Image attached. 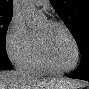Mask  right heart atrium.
<instances>
[{
    "mask_svg": "<svg viewBox=\"0 0 89 89\" xmlns=\"http://www.w3.org/2000/svg\"><path fill=\"white\" fill-rule=\"evenodd\" d=\"M34 33L19 15H13L5 35V49L8 57L19 64L32 50Z\"/></svg>",
    "mask_w": 89,
    "mask_h": 89,
    "instance_id": "right-heart-atrium-1",
    "label": "right heart atrium"
}]
</instances>
